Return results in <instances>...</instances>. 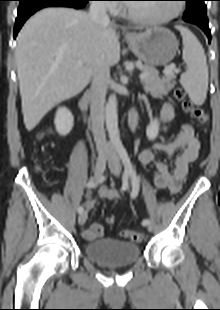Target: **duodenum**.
<instances>
[{
	"label": "duodenum",
	"mask_w": 220,
	"mask_h": 310,
	"mask_svg": "<svg viewBox=\"0 0 220 310\" xmlns=\"http://www.w3.org/2000/svg\"><path fill=\"white\" fill-rule=\"evenodd\" d=\"M91 97H92V92L91 91L86 92L84 96L82 97L80 104H79L85 122L90 121L89 103H90ZM129 127L131 131L135 129V116L134 115L130 119Z\"/></svg>",
	"instance_id": "410a0bca"
}]
</instances>
